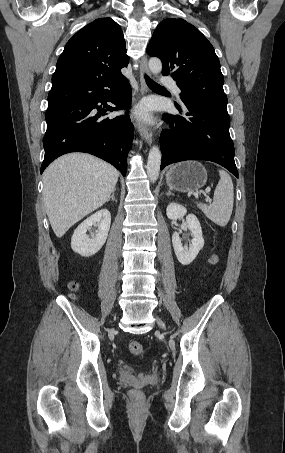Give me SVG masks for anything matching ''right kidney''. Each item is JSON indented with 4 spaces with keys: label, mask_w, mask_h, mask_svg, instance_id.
I'll return each instance as SVG.
<instances>
[{
    "label": "right kidney",
    "mask_w": 285,
    "mask_h": 453,
    "mask_svg": "<svg viewBox=\"0 0 285 453\" xmlns=\"http://www.w3.org/2000/svg\"><path fill=\"white\" fill-rule=\"evenodd\" d=\"M111 224V214L107 209H101L84 220L74 231L71 238V248L81 256L89 257L96 254L106 242ZM92 226L98 230L91 236L87 231Z\"/></svg>",
    "instance_id": "right-kidney-1"
}]
</instances>
